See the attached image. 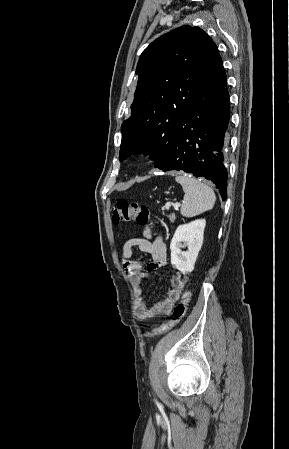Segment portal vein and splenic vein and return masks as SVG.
Instances as JSON below:
<instances>
[{"label":"portal vein and splenic vein","mask_w":289,"mask_h":449,"mask_svg":"<svg viewBox=\"0 0 289 449\" xmlns=\"http://www.w3.org/2000/svg\"><path fill=\"white\" fill-rule=\"evenodd\" d=\"M180 203H170V202H167L166 203V205H165V208L166 209H169L171 206H173L175 209H178L179 207H180Z\"/></svg>","instance_id":"portal-vein-and-splenic-vein-1"}]
</instances>
